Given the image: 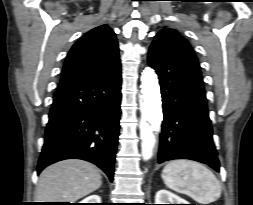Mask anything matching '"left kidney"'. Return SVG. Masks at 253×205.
Listing matches in <instances>:
<instances>
[{
    "label": "left kidney",
    "mask_w": 253,
    "mask_h": 205,
    "mask_svg": "<svg viewBox=\"0 0 253 205\" xmlns=\"http://www.w3.org/2000/svg\"><path fill=\"white\" fill-rule=\"evenodd\" d=\"M155 204H189V202L168 190L162 189L155 195Z\"/></svg>",
    "instance_id": "5707ae66"
}]
</instances>
